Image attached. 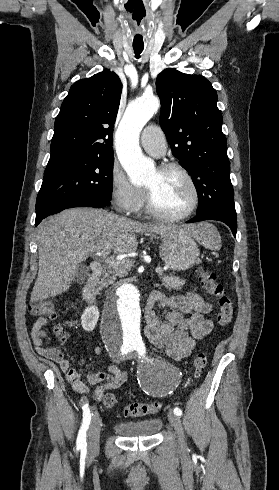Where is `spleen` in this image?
I'll use <instances>...</instances> for the list:
<instances>
[{"mask_svg": "<svg viewBox=\"0 0 279 490\" xmlns=\"http://www.w3.org/2000/svg\"><path fill=\"white\" fill-rule=\"evenodd\" d=\"M197 240L201 242L204 248H208V250H220L221 248L220 234L212 224H206L205 232L199 234Z\"/></svg>", "mask_w": 279, "mask_h": 490, "instance_id": "3e777b00", "label": "spleen"}]
</instances>
